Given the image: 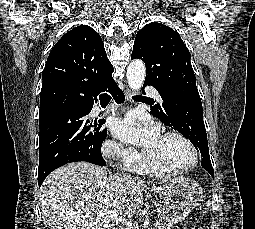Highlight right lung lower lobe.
Masks as SVG:
<instances>
[{"label": "right lung lower lobe", "mask_w": 255, "mask_h": 229, "mask_svg": "<svg viewBox=\"0 0 255 229\" xmlns=\"http://www.w3.org/2000/svg\"><path fill=\"white\" fill-rule=\"evenodd\" d=\"M113 95V98L116 100L117 103H122L125 99L123 92L116 86L115 88H113L110 91ZM81 111V110H80ZM91 110H88V112L90 113ZM104 122V121H103ZM96 165H100V166H105L106 163L104 161V159H100L98 161H93L90 162ZM50 172H46V173H38V185L41 186V184L43 183L44 179L47 177V175Z\"/></svg>", "instance_id": "right-lung-lower-lobe-1"}]
</instances>
